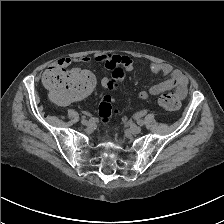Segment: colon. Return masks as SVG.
<instances>
[{
    "label": "colon",
    "instance_id": "1",
    "mask_svg": "<svg viewBox=\"0 0 224 224\" xmlns=\"http://www.w3.org/2000/svg\"><path fill=\"white\" fill-rule=\"evenodd\" d=\"M123 78V69L116 68L111 77L106 80L105 85L108 90L114 91ZM45 83L51 89L56 101L66 103L82 99L90 94L95 87V78L87 71L56 66L45 76ZM158 102L162 108L169 111L180 107V99L174 92H164ZM113 106L114 99L110 94L105 95L100 101L98 113L103 125H107L110 121Z\"/></svg>",
    "mask_w": 224,
    "mask_h": 224
}]
</instances>
